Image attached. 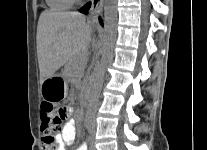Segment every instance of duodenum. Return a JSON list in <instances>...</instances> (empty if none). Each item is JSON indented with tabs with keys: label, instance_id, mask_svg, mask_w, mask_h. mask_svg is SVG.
Listing matches in <instances>:
<instances>
[{
	"label": "duodenum",
	"instance_id": "obj_1",
	"mask_svg": "<svg viewBox=\"0 0 207 150\" xmlns=\"http://www.w3.org/2000/svg\"><path fill=\"white\" fill-rule=\"evenodd\" d=\"M92 92H93V84H90L87 87L86 92H85V98H86L87 102H89L91 100Z\"/></svg>",
	"mask_w": 207,
	"mask_h": 150
}]
</instances>
